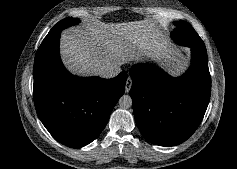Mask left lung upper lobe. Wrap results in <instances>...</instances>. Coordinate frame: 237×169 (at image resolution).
I'll use <instances>...</instances> for the list:
<instances>
[{"label": "left lung upper lobe", "mask_w": 237, "mask_h": 169, "mask_svg": "<svg viewBox=\"0 0 237 169\" xmlns=\"http://www.w3.org/2000/svg\"><path fill=\"white\" fill-rule=\"evenodd\" d=\"M176 26L172 33V38L179 45L188 47L204 48L205 45L193 27L184 21L174 22Z\"/></svg>", "instance_id": "1"}]
</instances>
